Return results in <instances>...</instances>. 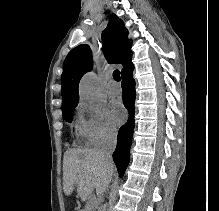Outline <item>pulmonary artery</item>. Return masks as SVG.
I'll list each match as a JSON object with an SVG mask.
<instances>
[{
	"instance_id": "pulmonary-artery-1",
	"label": "pulmonary artery",
	"mask_w": 219,
	"mask_h": 211,
	"mask_svg": "<svg viewBox=\"0 0 219 211\" xmlns=\"http://www.w3.org/2000/svg\"><path fill=\"white\" fill-rule=\"evenodd\" d=\"M107 93L110 96H118L122 93V87L118 82L112 81L107 86Z\"/></svg>"
}]
</instances>
